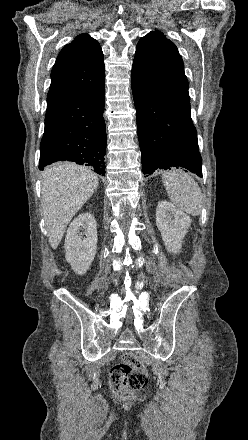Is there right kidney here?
<instances>
[{
  "mask_svg": "<svg viewBox=\"0 0 248 440\" xmlns=\"http://www.w3.org/2000/svg\"><path fill=\"white\" fill-rule=\"evenodd\" d=\"M97 241V225L91 213L80 214L69 225L64 244L65 258L77 274H85L91 266Z\"/></svg>",
  "mask_w": 248,
  "mask_h": 440,
  "instance_id": "ca27d5eb",
  "label": "right kidney"
}]
</instances>
